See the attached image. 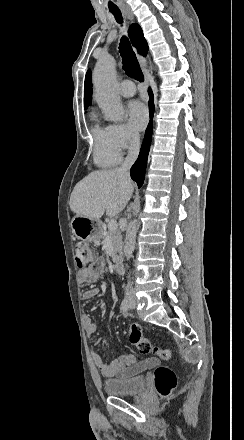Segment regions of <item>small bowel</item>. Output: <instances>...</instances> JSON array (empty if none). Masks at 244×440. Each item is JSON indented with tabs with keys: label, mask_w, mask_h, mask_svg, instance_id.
<instances>
[{
	"label": "small bowel",
	"mask_w": 244,
	"mask_h": 440,
	"mask_svg": "<svg viewBox=\"0 0 244 440\" xmlns=\"http://www.w3.org/2000/svg\"><path fill=\"white\" fill-rule=\"evenodd\" d=\"M105 262L102 257L96 258L92 263L88 265L79 274L80 282L84 285H90L96 282L103 274ZM99 294L97 288H90L82 293L84 300H92ZM86 332L89 336L94 335L97 331V325L92 320L91 316L85 314L83 317ZM92 360L97 370L107 378H115L120 381H127L132 379L149 368L154 367L157 364L155 359L151 360H138L134 355H121L117 359L107 363L103 360L98 352L93 351L91 353Z\"/></svg>",
	"instance_id": "c3829d8e"
}]
</instances>
